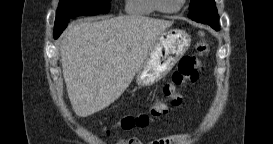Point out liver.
<instances>
[{"label":"liver","instance_id":"obj_1","mask_svg":"<svg viewBox=\"0 0 273 144\" xmlns=\"http://www.w3.org/2000/svg\"><path fill=\"white\" fill-rule=\"evenodd\" d=\"M172 24L144 16L73 22L64 33L60 55L76 115L87 117L115 102L158 37Z\"/></svg>","mask_w":273,"mask_h":144}]
</instances>
